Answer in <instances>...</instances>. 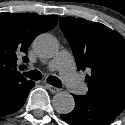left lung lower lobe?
Segmentation results:
<instances>
[{
    "label": "left lung lower lobe",
    "mask_w": 125,
    "mask_h": 125,
    "mask_svg": "<svg viewBox=\"0 0 125 125\" xmlns=\"http://www.w3.org/2000/svg\"><path fill=\"white\" fill-rule=\"evenodd\" d=\"M75 108L61 118L70 125H109L125 108V100L117 97L73 95Z\"/></svg>",
    "instance_id": "1"
}]
</instances>
